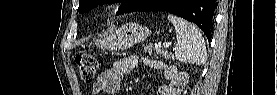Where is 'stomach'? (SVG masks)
Segmentation results:
<instances>
[{"label":"stomach","mask_w":277,"mask_h":95,"mask_svg":"<svg viewBox=\"0 0 277 95\" xmlns=\"http://www.w3.org/2000/svg\"><path fill=\"white\" fill-rule=\"evenodd\" d=\"M150 35L151 32L146 27L135 23H128L104 35L98 41V45L109 51L126 50L144 41Z\"/></svg>","instance_id":"obj_1"}]
</instances>
